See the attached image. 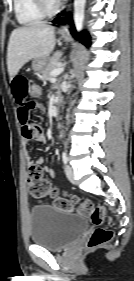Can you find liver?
<instances>
[{
  "label": "liver",
  "instance_id": "1",
  "mask_svg": "<svg viewBox=\"0 0 134 281\" xmlns=\"http://www.w3.org/2000/svg\"><path fill=\"white\" fill-rule=\"evenodd\" d=\"M55 47V28L43 22L12 31L7 49L10 79L30 60L48 58Z\"/></svg>",
  "mask_w": 134,
  "mask_h": 281
}]
</instances>
